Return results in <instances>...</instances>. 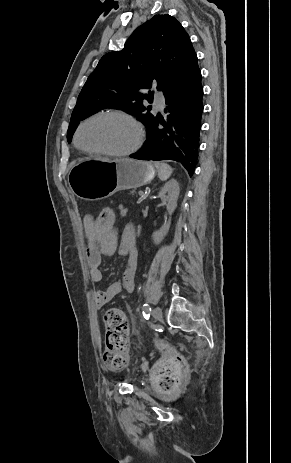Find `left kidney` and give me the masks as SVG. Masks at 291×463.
<instances>
[{"instance_id": "left-kidney-1", "label": "left kidney", "mask_w": 291, "mask_h": 463, "mask_svg": "<svg viewBox=\"0 0 291 463\" xmlns=\"http://www.w3.org/2000/svg\"><path fill=\"white\" fill-rule=\"evenodd\" d=\"M179 192L180 188L176 180H171L165 183L159 192V198L166 205L167 211L170 215H172L177 207ZM170 224V221L167 222L160 230L152 234L154 243L159 244L164 239L169 231Z\"/></svg>"}]
</instances>
